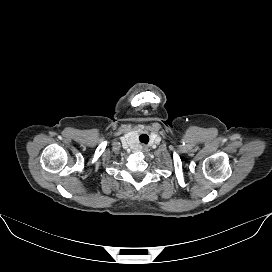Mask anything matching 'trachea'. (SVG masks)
<instances>
[{"label": "trachea", "instance_id": "3493384b", "mask_svg": "<svg viewBox=\"0 0 272 272\" xmlns=\"http://www.w3.org/2000/svg\"><path fill=\"white\" fill-rule=\"evenodd\" d=\"M139 140L140 142L147 144L149 142V136L147 134H141Z\"/></svg>", "mask_w": 272, "mask_h": 272}]
</instances>
